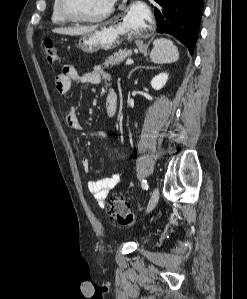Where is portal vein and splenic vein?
Returning <instances> with one entry per match:
<instances>
[{"instance_id": "18ae733b", "label": "portal vein and splenic vein", "mask_w": 247, "mask_h": 299, "mask_svg": "<svg viewBox=\"0 0 247 299\" xmlns=\"http://www.w3.org/2000/svg\"><path fill=\"white\" fill-rule=\"evenodd\" d=\"M133 63V60L132 59H127L126 60V65H131Z\"/></svg>"}]
</instances>
